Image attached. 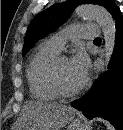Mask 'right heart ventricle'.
<instances>
[{"label": "right heart ventricle", "instance_id": "obj_1", "mask_svg": "<svg viewBox=\"0 0 123 130\" xmlns=\"http://www.w3.org/2000/svg\"><path fill=\"white\" fill-rule=\"evenodd\" d=\"M59 52L46 42L36 49L27 69V80L33 98L53 101L59 98L51 79V67Z\"/></svg>", "mask_w": 123, "mask_h": 130}]
</instances>
